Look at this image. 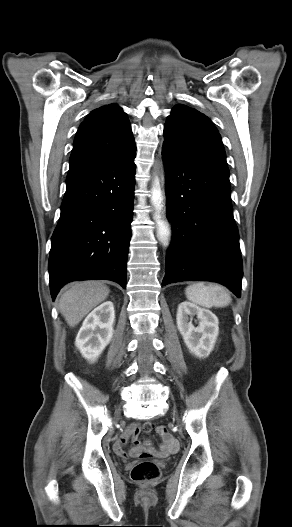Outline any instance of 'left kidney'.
Masks as SVG:
<instances>
[{
	"instance_id": "left-kidney-1",
	"label": "left kidney",
	"mask_w": 292,
	"mask_h": 527,
	"mask_svg": "<svg viewBox=\"0 0 292 527\" xmlns=\"http://www.w3.org/2000/svg\"><path fill=\"white\" fill-rule=\"evenodd\" d=\"M195 315L198 319L197 327L192 324ZM176 321L177 328L189 351L199 358L208 357L219 333V321L216 315L193 303L182 302L178 305Z\"/></svg>"
}]
</instances>
